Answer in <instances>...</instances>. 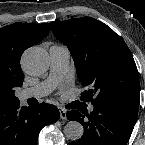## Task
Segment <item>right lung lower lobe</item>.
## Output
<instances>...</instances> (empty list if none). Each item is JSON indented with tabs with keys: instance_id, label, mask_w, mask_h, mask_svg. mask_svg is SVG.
<instances>
[{
	"instance_id": "1",
	"label": "right lung lower lobe",
	"mask_w": 145,
	"mask_h": 145,
	"mask_svg": "<svg viewBox=\"0 0 145 145\" xmlns=\"http://www.w3.org/2000/svg\"><path fill=\"white\" fill-rule=\"evenodd\" d=\"M56 106H20L19 101L0 107V145H37L40 130L59 119Z\"/></svg>"
}]
</instances>
